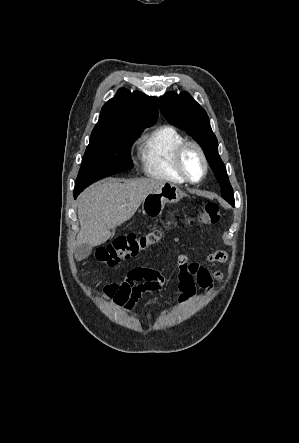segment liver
<instances>
[{
	"label": "liver",
	"mask_w": 299,
	"mask_h": 443,
	"mask_svg": "<svg viewBox=\"0 0 299 443\" xmlns=\"http://www.w3.org/2000/svg\"><path fill=\"white\" fill-rule=\"evenodd\" d=\"M163 184V180L149 178H108L91 185L77 200L81 227L77 245L93 247L105 243L111 230L128 221L146 196Z\"/></svg>",
	"instance_id": "obj_1"
}]
</instances>
